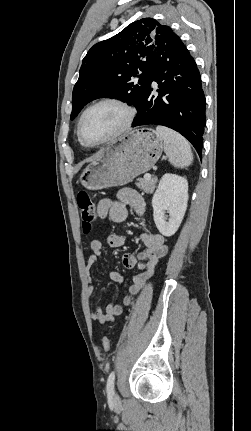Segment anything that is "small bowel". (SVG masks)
<instances>
[{
	"label": "small bowel",
	"mask_w": 251,
	"mask_h": 431,
	"mask_svg": "<svg viewBox=\"0 0 251 431\" xmlns=\"http://www.w3.org/2000/svg\"><path fill=\"white\" fill-rule=\"evenodd\" d=\"M128 207L139 217H144L147 214V206L141 195L132 189L121 190L115 200L102 199L97 205V214L100 219L109 218L113 222H122L128 214ZM140 239L144 245V249L138 254L126 253L123 255L122 261L126 268L140 269L129 287L131 295H135L141 291L146 282L155 272L159 261L168 253V245L165 237L159 233L150 234L142 231ZM125 244V239L119 234H109L100 239H95L91 242L90 247L92 254L87 261L86 268L90 271L96 262L102 257L106 248H118ZM109 278L115 283H123L124 277L117 271H110ZM88 295L92 296L94 287L91 284V278L88 277ZM127 295L123 298V305L109 304L105 311L97 307L91 312V318L99 323L113 321L115 317L123 313V306H129L133 302V297Z\"/></svg>",
	"instance_id": "obj_1"
}]
</instances>
